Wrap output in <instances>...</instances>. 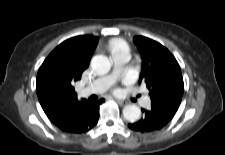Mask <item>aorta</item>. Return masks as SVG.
Segmentation results:
<instances>
[{"label": "aorta", "mask_w": 225, "mask_h": 155, "mask_svg": "<svg viewBox=\"0 0 225 155\" xmlns=\"http://www.w3.org/2000/svg\"><path fill=\"white\" fill-rule=\"evenodd\" d=\"M91 67L97 74H106L111 69V61L105 55H95L91 60ZM123 116L129 122H135L141 117V109L135 104L123 108Z\"/></svg>", "instance_id": "1"}]
</instances>
